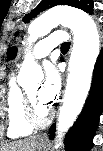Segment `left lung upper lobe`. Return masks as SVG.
Wrapping results in <instances>:
<instances>
[{
  "mask_svg": "<svg viewBox=\"0 0 103 151\" xmlns=\"http://www.w3.org/2000/svg\"><path fill=\"white\" fill-rule=\"evenodd\" d=\"M56 5L73 6L89 14H92L93 11V0H42L40 4L30 12V14L25 15L23 21L29 22L32 18L36 17L41 11H44Z\"/></svg>",
  "mask_w": 103,
  "mask_h": 151,
  "instance_id": "left-lung-upper-lobe-1",
  "label": "left lung upper lobe"
}]
</instances>
